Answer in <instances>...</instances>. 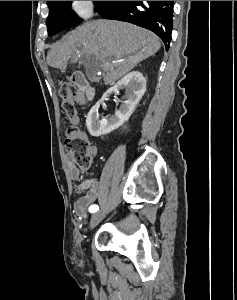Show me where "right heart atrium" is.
<instances>
[{
	"mask_svg": "<svg viewBox=\"0 0 237 300\" xmlns=\"http://www.w3.org/2000/svg\"><path fill=\"white\" fill-rule=\"evenodd\" d=\"M69 9L77 19L85 20L93 15L95 3L94 1H70Z\"/></svg>",
	"mask_w": 237,
	"mask_h": 300,
	"instance_id": "1",
	"label": "right heart atrium"
}]
</instances>
